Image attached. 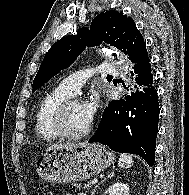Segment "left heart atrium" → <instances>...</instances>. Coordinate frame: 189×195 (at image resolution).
I'll return each mask as SVG.
<instances>
[{"instance_id": "39dd6f15", "label": "left heart atrium", "mask_w": 189, "mask_h": 195, "mask_svg": "<svg viewBox=\"0 0 189 195\" xmlns=\"http://www.w3.org/2000/svg\"><path fill=\"white\" fill-rule=\"evenodd\" d=\"M84 107L87 116L89 117L90 120H92L98 109V99L96 97L92 98L90 101L84 103Z\"/></svg>"}]
</instances>
